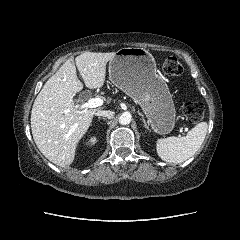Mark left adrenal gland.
Wrapping results in <instances>:
<instances>
[{"instance_id":"left-adrenal-gland-1","label":"left adrenal gland","mask_w":240,"mask_h":240,"mask_svg":"<svg viewBox=\"0 0 240 240\" xmlns=\"http://www.w3.org/2000/svg\"><path fill=\"white\" fill-rule=\"evenodd\" d=\"M138 114H139V115L141 116V118H142V122L144 123V127L148 129V126H147V123H146V121H145V119H144L143 114L140 113L139 111H138Z\"/></svg>"}]
</instances>
